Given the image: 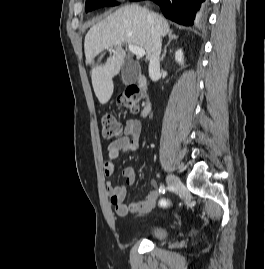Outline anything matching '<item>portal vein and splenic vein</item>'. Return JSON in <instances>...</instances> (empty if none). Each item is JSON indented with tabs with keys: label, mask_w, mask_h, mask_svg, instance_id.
I'll list each match as a JSON object with an SVG mask.
<instances>
[{
	"label": "portal vein and splenic vein",
	"mask_w": 265,
	"mask_h": 269,
	"mask_svg": "<svg viewBox=\"0 0 265 269\" xmlns=\"http://www.w3.org/2000/svg\"><path fill=\"white\" fill-rule=\"evenodd\" d=\"M129 50L134 53L137 57H144L145 56V50L141 47H138L133 44L128 45Z\"/></svg>",
	"instance_id": "portal-vein-and-splenic-vein-1"
}]
</instances>
